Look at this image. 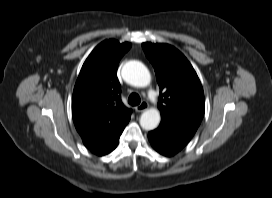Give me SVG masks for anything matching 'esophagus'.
Returning a JSON list of instances; mask_svg holds the SVG:
<instances>
[{
	"label": "esophagus",
	"instance_id": "1",
	"mask_svg": "<svg viewBox=\"0 0 272 198\" xmlns=\"http://www.w3.org/2000/svg\"><path fill=\"white\" fill-rule=\"evenodd\" d=\"M149 107L146 101H143L138 106L135 107L136 112H143Z\"/></svg>",
	"mask_w": 272,
	"mask_h": 198
}]
</instances>
